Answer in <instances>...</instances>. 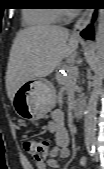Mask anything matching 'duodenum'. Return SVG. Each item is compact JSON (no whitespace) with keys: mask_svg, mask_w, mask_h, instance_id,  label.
I'll return each mask as SVG.
<instances>
[{"mask_svg":"<svg viewBox=\"0 0 104 169\" xmlns=\"http://www.w3.org/2000/svg\"><path fill=\"white\" fill-rule=\"evenodd\" d=\"M85 109H86V104L84 101H77L75 104H74V107H73V111H74V115L77 117V118H81L84 116V112H85Z\"/></svg>","mask_w":104,"mask_h":169,"instance_id":"1","label":"duodenum"}]
</instances>
